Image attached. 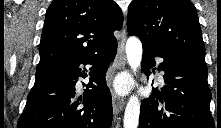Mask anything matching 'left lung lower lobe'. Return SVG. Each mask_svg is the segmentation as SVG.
I'll list each match as a JSON object with an SVG mask.
<instances>
[{"mask_svg": "<svg viewBox=\"0 0 221 128\" xmlns=\"http://www.w3.org/2000/svg\"><path fill=\"white\" fill-rule=\"evenodd\" d=\"M155 55L164 58L161 69L166 85L154 88L141 102L139 128H214L207 66L143 45L142 69L147 75L155 66Z\"/></svg>", "mask_w": 221, "mask_h": 128, "instance_id": "obj_1", "label": "left lung lower lobe"}]
</instances>
